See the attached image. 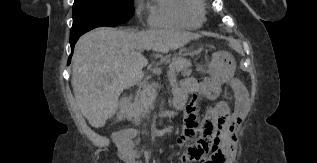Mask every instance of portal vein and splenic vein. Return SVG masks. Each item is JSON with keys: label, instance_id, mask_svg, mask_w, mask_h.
I'll return each instance as SVG.
<instances>
[{"label": "portal vein and splenic vein", "instance_id": "1", "mask_svg": "<svg viewBox=\"0 0 317 163\" xmlns=\"http://www.w3.org/2000/svg\"><path fill=\"white\" fill-rule=\"evenodd\" d=\"M169 75H170V76H174V75H175V71H169ZM151 85H152L154 88L159 87L158 83H152Z\"/></svg>", "mask_w": 317, "mask_h": 163}]
</instances>
